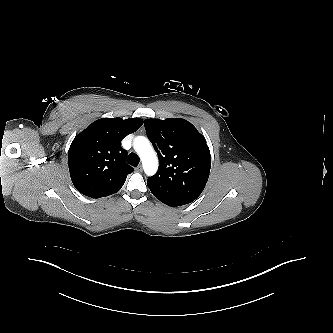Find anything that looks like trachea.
<instances>
[{"instance_id":"3493384b","label":"trachea","mask_w":333,"mask_h":333,"mask_svg":"<svg viewBox=\"0 0 333 333\" xmlns=\"http://www.w3.org/2000/svg\"><path fill=\"white\" fill-rule=\"evenodd\" d=\"M127 162H128L130 165L136 167V166H138V164H139V157H138L137 154H135V153H130V154L128 155V157H127Z\"/></svg>"}]
</instances>
